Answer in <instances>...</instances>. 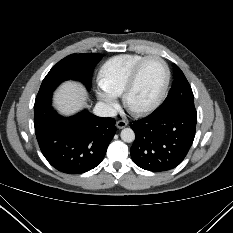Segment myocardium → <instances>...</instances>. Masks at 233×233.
Instances as JSON below:
<instances>
[{
    "label": "myocardium",
    "instance_id": "myocardium-1",
    "mask_svg": "<svg viewBox=\"0 0 233 233\" xmlns=\"http://www.w3.org/2000/svg\"><path fill=\"white\" fill-rule=\"evenodd\" d=\"M150 59L158 60L164 67L165 80H164L162 90L159 93V95L157 96V98L149 105L144 106V107H140V108H133L129 103V97H130L133 89L135 88V85L137 83V79H138V76H139V73H140L142 66L144 65L145 62H147ZM170 79H171L170 68L163 58H161L158 55H148V56L143 57L132 69V71L128 77L127 83L124 87V90L122 92V101H123L124 106L126 107V109L129 112H131L134 115H138V116L146 115V114L153 112L164 101V99L167 95V92H168Z\"/></svg>",
    "mask_w": 233,
    "mask_h": 233
}]
</instances>
